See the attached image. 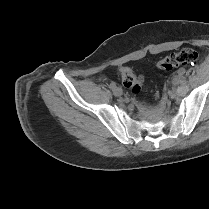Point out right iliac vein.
<instances>
[{"label": "right iliac vein", "mask_w": 209, "mask_h": 209, "mask_svg": "<svg viewBox=\"0 0 209 209\" xmlns=\"http://www.w3.org/2000/svg\"><path fill=\"white\" fill-rule=\"evenodd\" d=\"M122 93H123V91H122V89L120 87H116V88L113 89V94L115 96H118L119 97V96L122 95Z\"/></svg>", "instance_id": "1"}]
</instances>
